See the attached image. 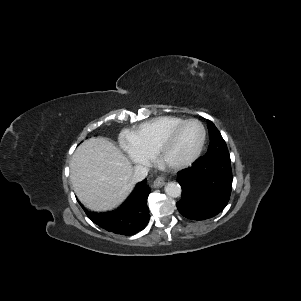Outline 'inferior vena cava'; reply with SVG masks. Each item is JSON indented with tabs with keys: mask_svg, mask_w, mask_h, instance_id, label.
I'll return each mask as SVG.
<instances>
[{
	"mask_svg": "<svg viewBox=\"0 0 301 301\" xmlns=\"http://www.w3.org/2000/svg\"><path fill=\"white\" fill-rule=\"evenodd\" d=\"M148 172L149 169L143 165L135 166L131 181L133 183L142 181L147 176Z\"/></svg>",
	"mask_w": 301,
	"mask_h": 301,
	"instance_id": "602c4592",
	"label": "inferior vena cava"
}]
</instances>
